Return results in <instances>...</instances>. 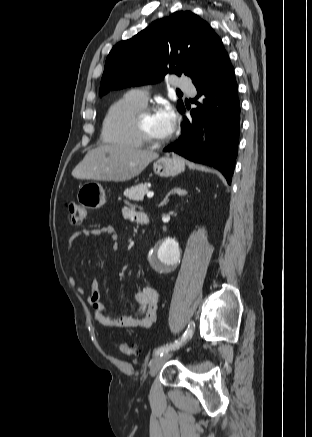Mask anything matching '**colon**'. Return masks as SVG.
<instances>
[{
	"instance_id": "colon-1",
	"label": "colon",
	"mask_w": 312,
	"mask_h": 437,
	"mask_svg": "<svg viewBox=\"0 0 312 437\" xmlns=\"http://www.w3.org/2000/svg\"><path fill=\"white\" fill-rule=\"evenodd\" d=\"M66 210L72 225H80L85 218L86 210L81 205L70 201L66 203ZM120 351L124 355H133L135 350L134 347L128 343H122L120 345Z\"/></svg>"
}]
</instances>
